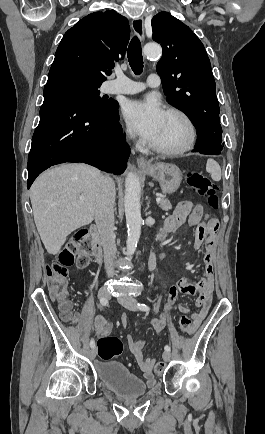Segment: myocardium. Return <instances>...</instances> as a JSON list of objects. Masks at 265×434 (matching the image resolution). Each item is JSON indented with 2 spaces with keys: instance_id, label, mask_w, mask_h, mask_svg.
Wrapping results in <instances>:
<instances>
[{
  "instance_id": "myocardium-1",
  "label": "myocardium",
  "mask_w": 265,
  "mask_h": 434,
  "mask_svg": "<svg viewBox=\"0 0 265 434\" xmlns=\"http://www.w3.org/2000/svg\"><path fill=\"white\" fill-rule=\"evenodd\" d=\"M166 115H174L180 118L186 127V138L182 145L174 149H162L149 144V148L157 155L164 157H178L190 151L196 142L197 131L194 122L190 116L178 107H169L166 110Z\"/></svg>"
}]
</instances>
